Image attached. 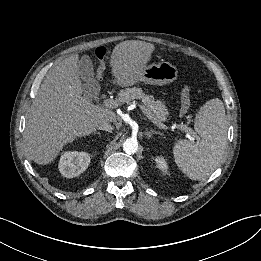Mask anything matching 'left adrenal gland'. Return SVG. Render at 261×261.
I'll return each mask as SVG.
<instances>
[{
    "mask_svg": "<svg viewBox=\"0 0 261 261\" xmlns=\"http://www.w3.org/2000/svg\"><path fill=\"white\" fill-rule=\"evenodd\" d=\"M144 134H145L148 138H151L154 134H160V135H161L160 132L154 131L153 129H151L150 131H146Z\"/></svg>",
    "mask_w": 261,
    "mask_h": 261,
    "instance_id": "left-adrenal-gland-1",
    "label": "left adrenal gland"
}]
</instances>
